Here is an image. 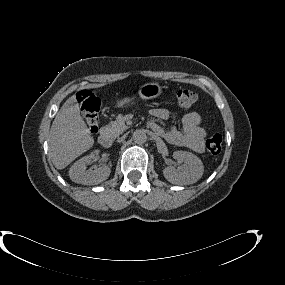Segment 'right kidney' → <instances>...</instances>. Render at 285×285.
<instances>
[{"mask_svg":"<svg viewBox=\"0 0 285 285\" xmlns=\"http://www.w3.org/2000/svg\"><path fill=\"white\" fill-rule=\"evenodd\" d=\"M98 153V152H96ZM95 154L91 153L76 161L69 170L70 179L78 184L94 185L105 181L111 172L108 166H101L94 170L86 169V165L94 161Z\"/></svg>","mask_w":285,"mask_h":285,"instance_id":"right-kidney-1","label":"right kidney"}]
</instances>
